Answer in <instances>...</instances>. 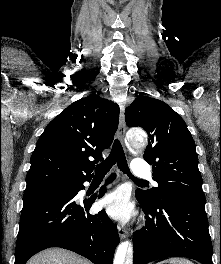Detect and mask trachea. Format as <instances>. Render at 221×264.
I'll use <instances>...</instances> for the list:
<instances>
[{
    "instance_id": "3493384b",
    "label": "trachea",
    "mask_w": 221,
    "mask_h": 264,
    "mask_svg": "<svg viewBox=\"0 0 221 264\" xmlns=\"http://www.w3.org/2000/svg\"><path fill=\"white\" fill-rule=\"evenodd\" d=\"M115 163H117L118 168L123 173L127 174L130 178H132L136 182L145 183V184L148 183L145 180L135 178L131 174L130 169L127 164L126 157H125V153L118 139L114 141L110 155L106 158V160H104L102 163L97 165V167L95 168L96 176L105 175L107 172H109V170Z\"/></svg>"
}]
</instances>
